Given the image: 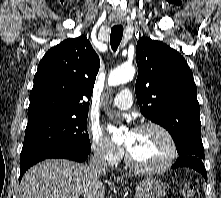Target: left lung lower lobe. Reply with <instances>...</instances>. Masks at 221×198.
Wrapping results in <instances>:
<instances>
[{"mask_svg": "<svg viewBox=\"0 0 221 198\" xmlns=\"http://www.w3.org/2000/svg\"><path fill=\"white\" fill-rule=\"evenodd\" d=\"M178 167H191L200 172L207 181V173L201 158L196 156L179 157L175 164L172 165L173 169Z\"/></svg>", "mask_w": 221, "mask_h": 198, "instance_id": "left-lung-lower-lobe-1", "label": "left lung lower lobe"}]
</instances>
